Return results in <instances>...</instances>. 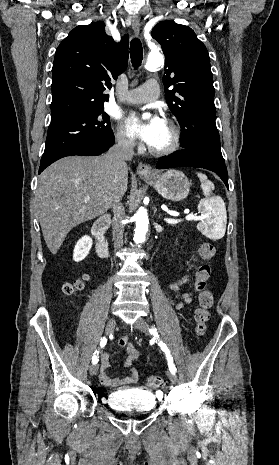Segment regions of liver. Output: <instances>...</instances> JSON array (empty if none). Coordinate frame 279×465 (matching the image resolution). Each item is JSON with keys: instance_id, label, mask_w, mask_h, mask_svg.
<instances>
[{"instance_id": "obj_1", "label": "liver", "mask_w": 279, "mask_h": 465, "mask_svg": "<svg viewBox=\"0 0 279 465\" xmlns=\"http://www.w3.org/2000/svg\"><path fill=\"white\" fill-rule=\"evenodd\" d=\"M127 186L128 168L116 181L105 155L64 157L47 167L39 177L35 202L50 252L57 253L72 228L104 214L111 198L124 195Z\"/></svg>"}]
</instances>
